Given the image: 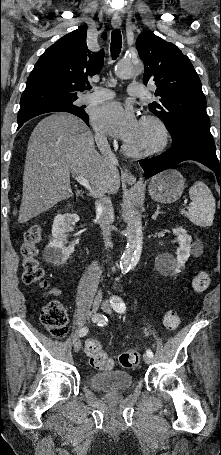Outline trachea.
Masks as SVG:
<instances>
[{
	"label": "trachea",
	"instance_id": "trachea-1",
	"mask_svg": "<svg viewBox=\"0 0 221 455\" xmlns=\"http://www.w3.org/2000/svg\"><path fill=\"white\" fill-rule=\"evenodd\" d=\"M121 47H122V36L121 32L119 29H115L111 33V55L113 59H116L120 52H121ZM85 89H91V86L88 84Z\"/></svg>",
	"mask_w": 221,
	"mask_h": 455
}]
</instances>
